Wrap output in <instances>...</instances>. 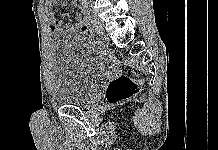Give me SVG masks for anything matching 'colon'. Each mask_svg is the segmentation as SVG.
I'll list each match as a JSON object with an SVG mask.
<instances>
[{
    "instance_id": "5ec220e1",
    "label": "colon",
    "mask_w": 218,
    "mask_h": 150,
    "mask_svg": "<svg viewBox=\"0 0 218 150\" xmlns=\"http://www.w3.org/2000/svg\"><path fill=\"white\" fill-rule=\"evenodd\" d=\"M82 32L89 33L86 26H82ZM140 91V81L128 75H120L111 80L106 88L107 102L112 105H119L132 98Z\"/></svg>"
}]
</instances>
